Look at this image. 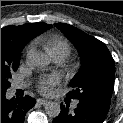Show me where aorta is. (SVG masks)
<instances>
[{
    "instance_id": "obj_1",
    "label": "aorta",
    "mask_w": 123,
    "mask_h": 123,
    "mask_svg": "<svg viewBox=\"0 0 123 123\" xmlns=\"http://www.w3.org/2000/svg\"><path fill=\"white\" fill-rule=\"evenodd\" d=\"M29 62L38 68H45L50 64V58L44 52H32L28 56ZM45 111L50 117H57L60 114V104L57 102H49Z\"/></svg>"
}]
</instances>
